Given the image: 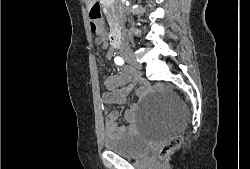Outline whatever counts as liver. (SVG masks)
<instances>
[{
	"label": "liver",
	"instance_id": "liver-1",
	"mask_svg": "<svg viewBox=\"0 0 250 169\" xmlns=\"http://www.w3.org/2000/svg\"><path fill=\"white\" fill-rule=\"evenodd\" d=\"M87 8H91L96 0H85Z\"/></svg>",
	"mask_w": 250,
	"mask_h": 169
}]
</instances>
